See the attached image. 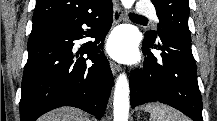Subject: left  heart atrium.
<instances>
[{
    "instance_id": "left-heart-atrium-1",
    "label": "left heart atrium",
    "mask_w": 217,
    "mask_h": 121,
    "mask_svg": "<svg viewBox=\"0 0 217 121\" xmlns=\"http://www.w3.org/2000/svg\"><path fill=\"white\" fill-rule=\"evenodd\" d=\"M109 53L120 60H129L135 56L134 42L129 33L117 32L109 41Z\"/></svg>"
}]
</instances>
